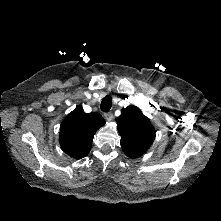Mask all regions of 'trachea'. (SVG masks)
<instances>
[{"label":"trachea","mask_w":221,"mask_h":221,"mask_svg":"<svg viewBox=\"0 0 221 221\" xmlns=\"http://www.w3.org/2000/svg\"><path fill=\"white\" fill-rule=\"evenodd\" d=\"M111 106H112V98L111 96L107 95L102 99L101 110L103 112H108L111 109Z\"/></svg>","instance_id":"3493384b"}]
</instances>
